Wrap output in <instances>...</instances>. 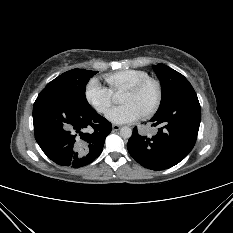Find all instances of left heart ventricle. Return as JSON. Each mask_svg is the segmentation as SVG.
I'll list each match as a JSON object with an SVG mask.
<instances>
[{
  "label": "left heart ventricle",
  "instance_id": "left-heart-ventricle-1",
  "mask_svg": "<svg viewBox=\"0 0 233 233\" xmlns=\"http://www.w3.org/2000/svg\"><path fill=\"white\" fill-rule=\"evenodd\" d=\"M156 96L157 90L155 85L149 84L139 93L125 91L120 101L123 104H134L144 114L153 105Z\"/></svg>",
  "mask_w": 233,
  "mask_h": 233
}]
</instances>
